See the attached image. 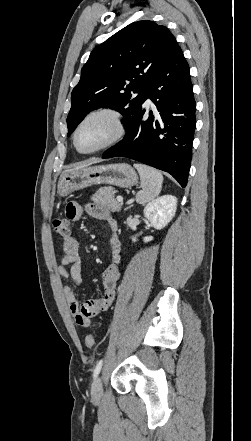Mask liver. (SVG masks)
Listing matches in <instances>:
<instances>
[{"mask_svg":"<svg viewBox=\"0 0 251 441\" xmlns=\"http://www.w3.org/2000/svg\"><path fill=\"white\" fill-rule=\"evenodd\" d=\"M100 160H98V159H94V160H91V161H89V162H85V163H83V164H81V165H78L77 167H75L74 169H80V168H83V167H87V166H89V165H91V164H94V163H97V162H99Z\"/></svg>","mask_w":251,"mask_h":441,"instance_id":"1","label":"liver"}]
</instances>
